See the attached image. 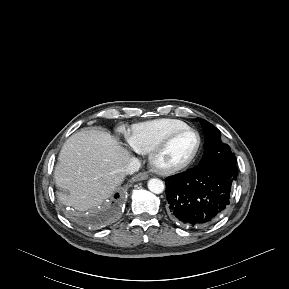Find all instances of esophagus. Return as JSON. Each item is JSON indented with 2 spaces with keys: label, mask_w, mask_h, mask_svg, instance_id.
Masks as SVG:
<instances>
[{
  "label": "esophagus",
  "mask_w": 289,
  "mask_h": 289,
  "mask_svg": "<svg viewBox=\"0 0 289 289\" xmlns=\"http://www.w3.org/2000/svg\"><path fill=\"white\" fill-rule=\"evenodd\" d=\"M148 178V174L145 172H140L138 174H136L133 178L132 181L136 182V181H142V180H146Z\"/></svg>",
  "instance_id": "esophagus-1"
}]
</instances>
